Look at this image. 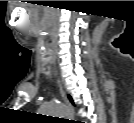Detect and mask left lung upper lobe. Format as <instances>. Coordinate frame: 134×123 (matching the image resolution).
Masks as SVG:
<instances>
[{
  "label": "left lung upper lobe",
  "mask_w": 134,
  "mask_h": 123,
  "mask_svg": "<svg viewBox=\"0 0 134 123\" xmlns=\"http://www.w3.org/2000/svg\"><path fill=\"white\" fill-rule=\"evenodd\" d=\"M69 99H70L71 102H73V101H72V98H71L70 96H69Z\"/></svg>",
  "instance_id": "5c2ea615"
}]
</instances>
